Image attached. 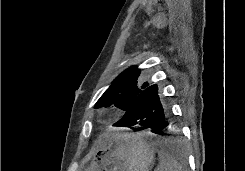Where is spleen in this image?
I'll use <instances>...</instances> for the list:
<instances>
[{
    "instance_id": "3e777b00",
    "label": "spleen",
    "mask_w": 245,
    "mask_h": 171,
    "mask_svg": "<svg viewBox=\"0 0 245 171\" xmlns=\"http://www.w3.org/2000/svg\"><path fill=\"white\" fill-rule=\"evenodd\" d=\"M159 165L154 171H183L182 166L168 153H159Z\"/></svg>"
}]
</instances>
